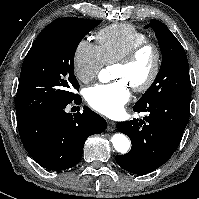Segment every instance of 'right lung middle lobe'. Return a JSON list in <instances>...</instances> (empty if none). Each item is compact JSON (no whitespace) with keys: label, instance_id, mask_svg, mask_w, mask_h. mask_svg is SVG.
I'll use <instances>...</instances> for the list:
<instances>
[{"label":"right lung middle lobe","instance_id":"obj_1","mask_svg":"<svg viewBox=\"0 0 199 199\" xmlns=\"http://www.w3.org/2000/svg\"><path fill=\"white\" fill-rule=\"evenodd\" d=\"M101 21L59 18L41 31L21 68L15 99L18 124L80 97L73 92L79 90L74 55L82 38Z\"/></svg>","mask_w":199,"mask_h":199}]
</instances>
